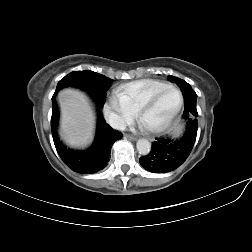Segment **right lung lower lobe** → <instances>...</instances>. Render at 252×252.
<instances>
[{"label":"right lung lower lobe","instance_id":"right-lung-lower-lobe-1","mask_svg":"<svg viewBox=\"0 0 252 252\" xmlns=\"http://www.w3.org/2000/svg\"><path fill=\"white\" fill-rule=\"evenodd\" d=\"M52 106L51 131L56 150L63 162L80 174H92L105 168L109 162L111 147L115 141L122 138V134L110 127L98 110L97 135L92 146L85 151L69 149L57 136L58 111L55 100H53Z\"/></svg>","mask_w":252,"mask_h":252}]
</instances>
